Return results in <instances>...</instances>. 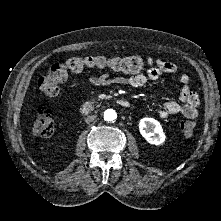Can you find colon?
<instances>
[{
  "label": "colon",
  "instance_id": "5ec220e1",
  "mask_svg": "<svg viewBox=\"0 0 221 221\" xmlns=\"http://www.w3.org/2000/svg\"><path fill=\"white\" fill-rule=\"evenodd\" d=\"M87 67L111 68L115 71L125 73H138L142 70H148L154 66V60H147L139 56L124 57H104V56H86L73 57L64 62H56L52 64L47 75L40 78L39 88L42 94L54 99L60 92V84L65 81L69 72L78 73ZM196 124L191 119H182L179 122V129L185 136L194 133ZM54 131V122L52 113L47 107H40L38 115L33 124V133L38 137H50Z\"/></svg>",
  "mask_w": 221,
  "mask_h": 221
}]
</instances>
